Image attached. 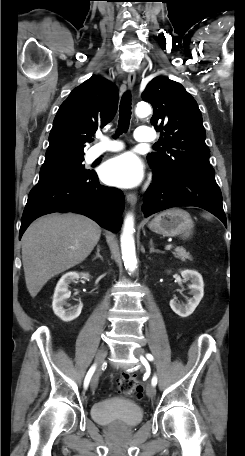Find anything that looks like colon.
<instances>
[{"label": "colon", "instance_id": "5ec220e1", "mask_svg": "<svg viewBox=\"0 0 245 456\" xmlns=\"http://www.w3.org/2000/svg\"><path fill=\"white\" fill-rule=\"evenodd\" d=\"M118 388L124 394L133 393L137 398H140L143 393V388L138 384L135 375L125 373L118 379Z\"/></svg>", "mask_w": 245, "mask_h": 456}]
</instances>
